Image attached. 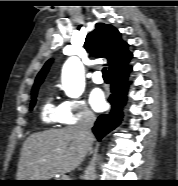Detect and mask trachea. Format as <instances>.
<instances>
[{
    "label": "trachea",
    "mask_w": 178,
    "mask_h": 186,
    "mask_svg": "<svg viewBox=\"0 0 178 186\" xmlns=\"http://www.w3.org/2000/svg\"><path fill=\"white\" fill-rule=\"evenodd\" d=\"M102 74H103V78H108V73H107L106 67H104L102 69Z\"/></svg>",
    "instance_id": "obj_1"
}]
</instances>
